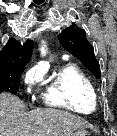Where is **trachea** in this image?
<instances>
[{
  "instance_id": "trachea-1",
  "label": "trachea",
  "mask_w": 117,
  "mask_h": 136,
  "mask_svg": "<svg viewBox=\"0 0 117 136\" xmlns=\"http://www.w3.org/2000/svg\"><path fill=\"white\" fill-rule=\"evenodd\" d=\"M43 1H44V0H36L35 3H36V4H40V3H42Z\"/></svg>"
}]
</instances>
